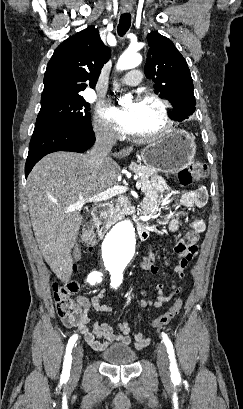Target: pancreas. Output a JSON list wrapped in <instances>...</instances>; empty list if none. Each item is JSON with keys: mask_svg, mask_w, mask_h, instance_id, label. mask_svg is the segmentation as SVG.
Instances as JSON below:
<instances>
[{"mask_svg": "<svg viewBox=\"0 0 243 409\" xmlns=\"http://www.w3.org/2000/svg\"><path fill=\"white\" fill-rule=\"evenodd\" d=\"M129 169L136 174H140V181L142 184L149 183V177H151L155 170L150 167L139 165L136 163H132L129 166ZM133 212V208L131 207L130 201L127 197L121 196L115 205L111 204L105 211L107 222L112 224L117 222L118 220L122 219L125 215L130 214Z\"/></svg>", "mask_w": 243, "mask_h": 409, "instance_id": "cf45deb5", "label": "pancreas"}]
</instances>
